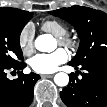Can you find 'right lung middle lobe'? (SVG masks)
<instances>
[{
	"mask_svg": "<svg viewBox=\"0 0 107 107\" xmlns=\"http://www.w3.org/2000/svg\"><path fill=\"white\" fill-rule=\"evenodd\" d=\"M33 13L15 8H0V65L11 67L22 59L20 33Z\"/></svg>",
	"mask_w": 107,
	"mask_h": 107,
	"instance_id": "right-lung-middle-lobe-1",
	"label": "right lung middle lobe"
}]
</instances>
